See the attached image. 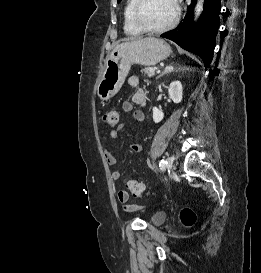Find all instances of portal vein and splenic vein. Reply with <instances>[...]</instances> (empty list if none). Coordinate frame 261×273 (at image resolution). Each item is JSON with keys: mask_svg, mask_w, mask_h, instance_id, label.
Listing matches in <instances>:
<instances>
[{"mask_svg": "<svg viewBox=\"0 0 261 273\" xmlns=\"http://www.w3.org/2000/svg\"><path fill=\"white\" fill-rule=\"evenodd\" d=\"M157 73H160V70H157Z\"/></svg>", "mask_w": 261, "mask_h": 273, "instance_id": "1", "label": "portal vein and splenic vein"}]
</instances>
